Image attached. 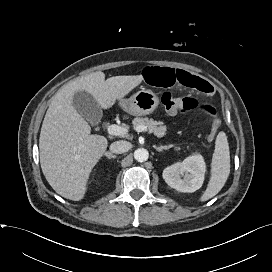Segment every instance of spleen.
Instances as JSON below:
<instances>
[{"label":"spleen","instance_id":"1","mask_svg":"<svg viewBox=\"0 0 272 272\" xmlns=\"http://www.w3.org/2000/svg\"><path fill=\"white\" fill-rule=\"evenodd\" d=\"M230 174V151L227 136L225 132L218 133L215 140V150L211 163V177L208 186L200 198L204 202L216 194L225 185Z\"/></svg>","mask_w":272,"mask_h":272}]
</instances>
